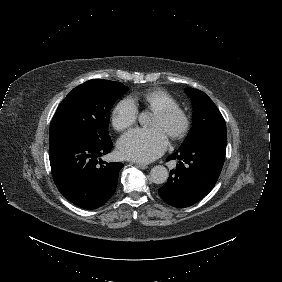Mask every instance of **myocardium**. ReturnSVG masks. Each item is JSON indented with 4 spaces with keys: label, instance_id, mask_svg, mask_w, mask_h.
<instances>
[{
    "label": "myocardium",
    "instance_id": "1",
    "mask_svg": "<svg viewBox=\"0 0 282 282\" xmlns=\"http://www.w3.org/2000/svg\"><path fill=\"white\" fill-rule=\"evenodd\" d=\"M154 113L171 125L167 131L171 139L177 140L185 136L189 128V119L181 109L178 107H163Z\"/></svg>",
    "mask_w": 282,
    "mask_h": 282
}]
</instances>
